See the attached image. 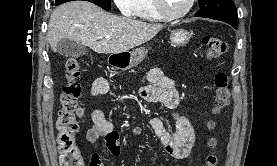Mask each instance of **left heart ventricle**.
Instances as JSON below:
<instances>
[{"label":"left heart ventricle","instance_id":"left-heart-ventricle-1","mask_svg":"<svg viewBox=\"0 0 277 166\" xmlns=\"http://www.w3.org/2000/svg\"><path fill=\"white\" fill-rule=\"evenodd\" d=\"M188 0H164L166 9L170 13H178L183 10Z\"/></svg>","mask_w":277,"mask_h":166}]
</instances>
